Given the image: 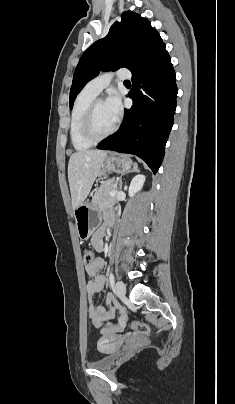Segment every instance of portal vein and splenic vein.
<instances>
[{"instance_id":"1","label":"portal vein and splenic vein","mask_w":235,"mask_h":404,"mask_svg":"<svg viewBox=\"0 0 235 404\" xmlns=\"http://www.w3.org/2000/svg\"><path fill=\"white\" fill-rule=\"evenodd\" d=\"M116 193H117V190L111 191V192H110V196H112V197H113V196H115V195H116Z\"/></svg>"}]
</instances>
